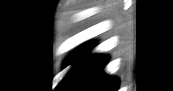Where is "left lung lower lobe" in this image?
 Returning a JSON list of instances; mask_svg holds the SVG:
<instances>
[{
    "label": "left lung lower lobe",
    "instance_id": "1",
    "mask_svg": "<svg viewBox=\"0 0 173 91\" xmlns=\"http://www.w3.org/2000/svg\"><path fill=\"white\" fill-rule=\"evenodd\" d=\"M92 48L91 44L78 48L70 57L69 62H74L73 69L61 81V91H116L118 80L109 78L102 73L107 62V57L87 53Z\"/></svg>",
    "mask_w": 173,
    "mask_h": 91
}]
</instances>
